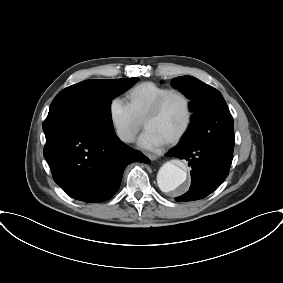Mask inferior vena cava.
I'll use <instances>...</instances> for the list:
<instances>
[{"instance_id":"inferior-vena-cava-1","label":"inferior vena cava","mask_w":283,"mask_h":283,"mask_svg":"<svg viewBox=\"0 0 283 283\" xmlns=\"http://www.w3.org/2000/svg\"><path fill=\"white\" fill-rule=\"evenodd\" d=\"M121 139L127 142H130L133 140V135L130 132H126L121 135Z\"/></svg>"}]
</instances>
